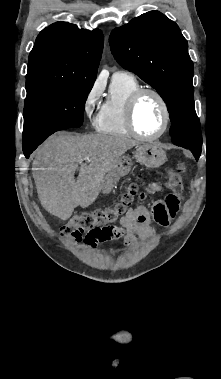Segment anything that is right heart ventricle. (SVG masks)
Returning a JSON list of instances; mask_svg holds the SVG:
<instances>
[{"instance_id":"right-heart-ventricle-1","label":"right heart ventricle","mask_w":221,"mask_h":379,"mask_svg":"<svg viewBox=\"0 0 221 379\" xmlns=\"http://www.w3.org/2000/svg\"><path fill=\"white\" fill-rule=\"evenodd\" d=\"M139 88L138 81L132 75L115 74L108 95L94 120L95 129L108 135H130L125 118L126 104L131 94Z\"/></svg>"}]
</instances>
